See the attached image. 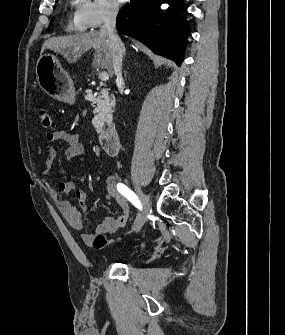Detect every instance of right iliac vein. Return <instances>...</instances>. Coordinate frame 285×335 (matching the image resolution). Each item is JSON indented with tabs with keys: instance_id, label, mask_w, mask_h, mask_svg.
I'll return each instance as SVG.
<instances>
[{
	"instance_id": "obj_1",
	"label": "right iliac vein",
	"mask_w": 285,
	"mask_h": 335,
	"mask_svg": "<svg viewBox=\"0 0 285 335\" xmlns=\"http://www.w3.org/2000/svg\"><path fill=\"white\" fill-rule=\"evenodd\" d=\"M134 187L141 198L142 206H143V212L138 215L137 221L135 223V228H134L135 231H139L144 225V223L146 222L145 215L150 211V203H149V198L142 192L140 187L137 184H135Z\"/></svg>"
}]
</instances>
